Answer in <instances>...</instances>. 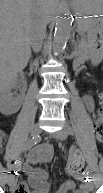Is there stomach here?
Masks as SVG:
<instances>
[{
	"mask_svg": "<svg viewBox=\"0 0 103 193\" xmlns=\"http://www.w3.org/2000/svg\"><path fill=\"white\" fill-rule=\"evenodd\" d=\"M73 11L77 15H101L103 11V0H71Z\"/></svg>",
	"mask_w": 103,
	"mask_h": 193,
	"instance_id": "1",
	"label": "stomach"
}]
</instances>
